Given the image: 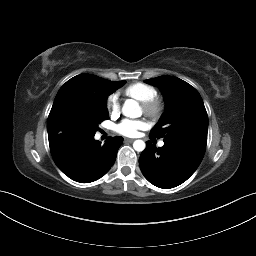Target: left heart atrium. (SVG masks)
<instances>
[{
    "instance_id": "left-heart-atrium-1",
    "label": "left heart atrium",
    "mask_w": 256,
    "mask_h": 256,
    "mask_svg": "<svg viewBox=\"0 0 256 256\" xmlns=\"http://www.w3.org/2000/svg\"><path fill=\"white\" fill-rule=\"evenodd\" d=\"M147 124L143 120L124 119L115 126V131L123 136H136Z\"/></svg>"
}]
</instances>
